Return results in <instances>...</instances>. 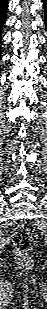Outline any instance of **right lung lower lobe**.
I'll list each match as a JSON object with an SVG mask.
<instances>
[{
    "instance_id": "98d812e1",
    "label": "right lung lower lobe",
    "mask_w": 47,
    "mask_h": 309,
    "mask_svg": "<svg viewBox=\"0 0 47 309\" xmlns=\"http://www.w3.org/2000/svg\"><path fill=\"white\" fill-rule=\"evenodd\" d=\"M7 7H8V1L0 0V40H1L2 26L4 25L6 19Z\"/></svg>"
}]
</instances>
